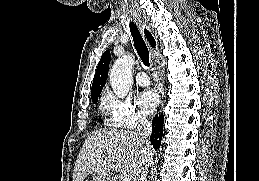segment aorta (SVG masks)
<instances>
[{
    "label": "aorta",
    "instance_id": "762f6f07",
    "mask_svg": "<svg viewBox=\"0 0 259 181\" xmlns=\"http://www.w3.org/2000/svg\"><path fill=\"white\" fill-rule=\"evenodd\" d=\"M134 58L130 54L118 58L109 74L110 83L114 93L119 98L127 96L132 88V69Z\"/></svg>",
    "mask_w": 259,
    "mask_h": 181
}]
</instances>
